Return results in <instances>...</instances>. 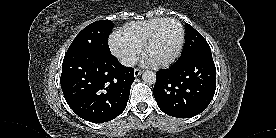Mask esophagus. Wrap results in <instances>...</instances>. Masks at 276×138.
Returning <instances> with one entry per match:
<instances>
[{
	"instance_id": "1",
	"label": "esophagus",
	"mask_w": 276,
	"mask_h": 138,
	"mask_svg": "<svg viewBox=\"0 0 276 138\" xmlns=\"http://www.w3.org/2000/svg\"><path fill=\"white\" fill-rule=\"evenodd\" d=\"M141 73H142V70L139 69V68H136V69L134 70V75H135V77L141 75Z\"/></svg>"
}]
</instances>
